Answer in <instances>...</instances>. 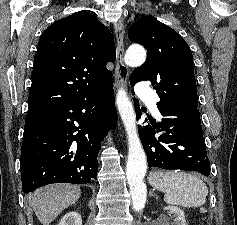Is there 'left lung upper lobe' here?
I'll list each match as a JSON object with an SVG mask.
<instances>
[{
	"label": "left lung upper lobe",
	"mask_w": 237,
	"mask_h": 225,
	"mask_svg": "<svg viewBox=\"0 0 237 225\" xmlns=\"http://www.w3.org/2000/svg\"><path fill=\"white\" fill-rule=\"evenodd\" d=\"M128 37L147 50L145 63L130 75L132 86L150 81L160 98L157 107L198 103L192 52L176 31L149 15L130 26Z\"/></svg>",
	"instance_id": "1"
}]
</instances>
